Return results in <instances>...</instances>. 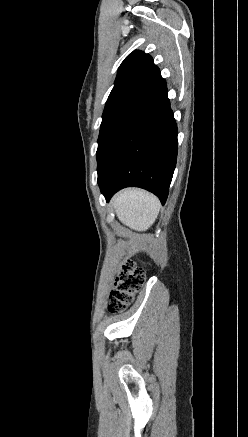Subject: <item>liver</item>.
<instances>
[{
    "label": "liver",
    "mask_w": 248,
    "mask_h": 437,
    "mask_svg": "<svg viewBox=\"0 0 248 437\" xmlns=\"http://www.w3.org/2000/svg\"><path fill=\"white\" fill-rule=\"evenodd\" d=\"M111 203L118 219L136 231L148 230L160 210L159 200L140 189L123 190L113 197Z\"/></svg>",
    "instance_id": "6515ba94"
}]
</instances>
